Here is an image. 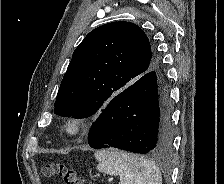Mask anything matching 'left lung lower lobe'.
<instances>
[{
    "mask_svg": "<svg viewBox=\"0 0 224 184\" xmlns=\"http://www.w3.org/2000/svg\"><path fill=\"white\" fill-rule=\"evenodd\" d=\"M92 148L115 147L162 154L172 143L170 101L159 70H153L112 98L92 125Z\"/></svg>",
    "mask_w": 224,
    "mask_h": 184,
    "instance_id": "left-lung-lower-lobe-1",
    "label": "left lung lower lobe"
}]
</instances>
